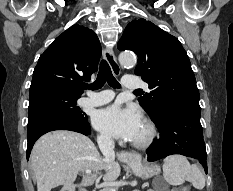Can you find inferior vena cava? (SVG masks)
<instances>
[{"instance_id":"inferior-vena-cava-1","label":"inferior vena cava","mask_w":233,"mask_h":191,"mask_svg":"<svg viewBox=\"0 0 233 191\" xmlns=\"http://www.w3.org/2000/svg\"><path fill=\"white\" fill-rule=\"evenodd\" d=\"M99 148L104 155V161L107 163H111L115 160V153H114V141L112 138L105 136L102 137L99 142Z\"/></svg>"}]
</instances>
